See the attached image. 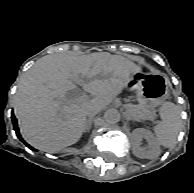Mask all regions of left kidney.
Masks as SVG:
<instances>
[{
	"instance_id": "obj_1",
	"label": "left kidney",
	"mask_w": 194,
	"mask_h": 193,
	"mask_svg": "<svg viewBox=\"0 0 194 193\" xmlns=\"http://www.w3.org/2000/svg\"><path fill=\"white\" fill-rule=\"evenodd\" d=\"M148 142L149 148L141 147L142 140ZM132 152L142 159H154L161 153L160 145L150 130L144 128H137L132 132Z\"/></svg>"
}]
</instances>
